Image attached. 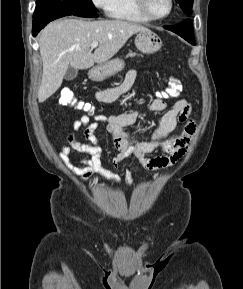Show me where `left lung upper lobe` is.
I'll return each mask as SVG.
<instances>
[{
    "label": "left lung upper lobe",
    "instance_id": "left-lung-upper-lobe-1",
    "mask_svg": "<svg viewBox=\"0 0 243 289\" xmlns=\"http://www.w3.org/2000/svg\"><path fill=\"white\" fill-rule=\"evenodd\" d=\"M176 2L180 4V6L182 7V9L184 10V12L186 14H190L191 13L193 0H176Z\"/></svg>",
    "mask_w": 243,
    "mask_h": 289
}]
</instances>
